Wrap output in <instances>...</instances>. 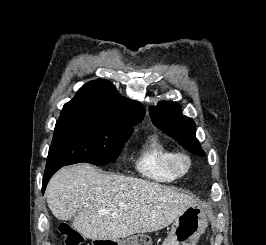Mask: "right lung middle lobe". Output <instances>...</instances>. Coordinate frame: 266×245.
I'll return each mask as SVG.
<instances>
[{
    "instance_id": "right-lung-middle-lobe-1",
    "label": "right lung middle lobe",
    "mask_w": 266,
    "mask_h": 245,
    "mask_svg": "<svg viewBox=\"0 0 266 245\" xmlns=\"http://www.w3.org/2000/svg\"><path fill=\"white\" fill-rule=\"evenodd\" d=\"M135 125L92 114L60 116L55 126L46 169L79 162L106 165L118 157Z\"/></svg>"
}]
</instances>
